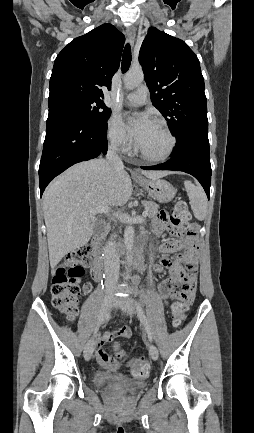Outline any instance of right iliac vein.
<instances>
[{"label":"right iliac vein","instance_id":"63e3f726","mask_svg":"<svg viewBox=\"0 0 254 433\" xmlns=\"http://www.w3.org/2000/svg\"><path fill=\"white\" fill-rule=\"evenodd\" d=\"M113 302H114L113 293L106 294L104 297L102 309H101V318L102 319L104 317H106V315L110 311V309L113 305ZM93 348H94V340L91 339L87 342V344L85 345V348H84V357L86 360H89L91 358L92 353H93Z\"/></svg>","mask_w":254,"mask_h":433}]
</instances>
